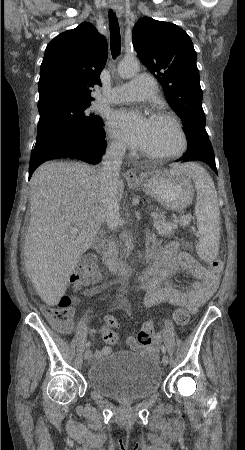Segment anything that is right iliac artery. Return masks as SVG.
I'll list each match as a JSON object with an SVG mask.
<instances>
[{"label": "right iliac artery", "instance_id": "right-iliac-artery-1", "mask_svg": "<svg viewBox=\"0 0 245 450\" xmlns=\"http://www.w3.org/2000/svg\"><path fill=\"white\" fill-rule=\"evenodd\" d=\"M90 345H91V343L88 341V342L86 343V348H89Z\"/></svg>", "mask_w": 245, "mask_h": 450}]
</instances>
